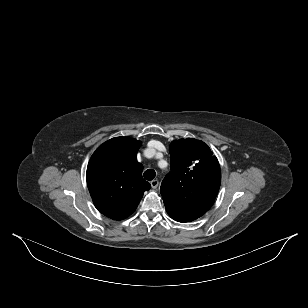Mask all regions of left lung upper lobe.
<instances>
[{
	"label": "left lung upper lobe",
	"instance_id": "left-lung-upper-lobe-1",
	"mask_svg": "<svg viewBox=\"0 0 308 308\" xmlns=\"http://www.w3.org/2000/svg\"><path fill=\"white\" fill-rule=\"evenodd\" d=\"M171 171L161 184V195L169 216L190 222L213 205L221 184L218 160L210 148L194 138L170 145Z\"/></svg>",
	"mask_w": 308,
	"mask_h": 308
}]
</instances>
